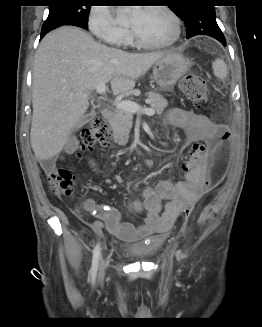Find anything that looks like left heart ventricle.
I'll list each match as a JSON object with an SVG mask.
<instances>
[{"instance_id": "obj_1", "label": "left heart ventricle", "mask_w": 262, "mask_h": 327, "mask_svg": "<svg viewBox=\"0 0 262 327\" xmlns=\"http://www.w3.org/2000/svg\"><path fill=\"white\" fill-rule=\"evenodd\" d=\"M128 26L136 31L143 39L151 42H162L173 34V24L163 12L144 9L138 18L129 16Z\"/></svg>"}]
</instances>
